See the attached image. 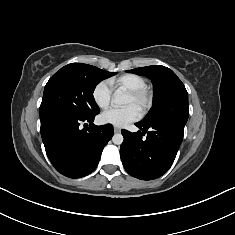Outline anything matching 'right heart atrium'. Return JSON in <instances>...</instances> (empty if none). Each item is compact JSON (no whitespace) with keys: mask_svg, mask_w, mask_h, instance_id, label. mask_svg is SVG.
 Returning a JSON list of instances; mask_svg holds the SVG:
<instances>
[{"mask_svg":"<svg viewBox=\"0 0 235 235\" xmlns=\"http://www.w3.org/2000/svg\"><path fill=\"white\" fill-rule=\"evenodd\" d=\"M111 97L112 86L109 81L98 82L92 90L93 101L101 109H106L110 105Z\"/></svg>","mask_w":235,"mask_h":235,"instance_id":"obj_1","label":"right heart atrium"}]
</instances>
